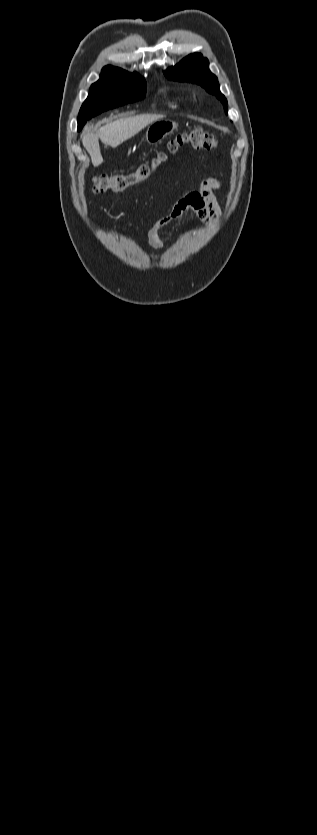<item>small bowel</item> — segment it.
I'll return each instance as SVG.
<instances>
[{
  "label": "small bowel",
  "instance_id": "obj_1",
  "mask_svg": "<svg viewBox=\"0 0 317 835\" xmlns=\"http://www.w3.org/2000/svg\"><path fill=\"white\" fill-rule=\"evenodd\" d=\"M221 181L216 177L203 179L198 188L187 192L171 207L170 211L157 219L148 230V244L153 250H162L164 243L161 230L178 220L187 211L195 213L207 226H215L221 217V212L214 191L220 189Z\"/></svg>",
  "mask_w": 317,
  "mask_h": 835
}]
</instances>
